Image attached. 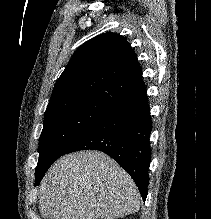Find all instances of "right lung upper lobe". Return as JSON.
I'll return each instance as SVG.
<instances>
[{"mask_svg": "<svg viewBox=\"0 0 211 219\" xmlns=\"http://www.w3.org/2000/svg\"><path fill=\"white\" fill-rule=\"evenodd\" d=\"M141 67L126 39L103 33L81 45L57 80L48 106L94 97L115 105L146 90Z\"/></svg>", "mask_w": 211, "mask_h": 219, "instance_id": "obj_1", "label": "right lung upper lobe"}]
</instances>
